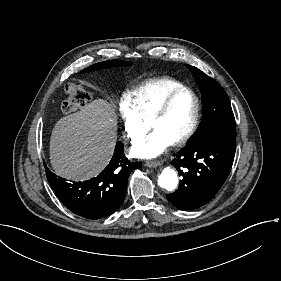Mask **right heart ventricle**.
<instances>
[{"label":"right heart ventricle","mask_w":281,"mask_h":281,"mask_svg":"<svg viewBox=\"0 0 281 281\" xmlns=\"http://www.w3.org/2000/svg\"><path fill=\"white\" fill-rule=\"evenodd\" d=\"M186 88L185 85L172 78L161 79L152 85L127 94L126 100L144 123L148 116L172 93Z\"/></svg>","instance_id":"e07e8e85"}]
</instances>
